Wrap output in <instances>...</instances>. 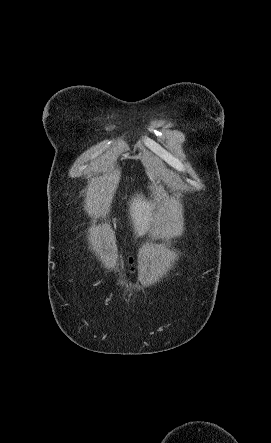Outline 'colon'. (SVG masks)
<instances>
[{
	"mask_svg": "<svg viewBox=\"0 0 271 443\" xmlns=\"http://www.w3.org/2000/svg\"><path fill=\"white\" fill-rule=\"evenodd\" d=\"M129 262H130V263H132V262H133V259H132V258H130V259H129Z\"/></svg>",
	"mask_w": 271,
	"mask_h": 443,
	"instance_id": "colon-1",
	"label": "colon"
}]
</instances>
